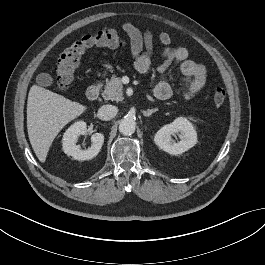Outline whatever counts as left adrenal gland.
Instances as JSON below:
<instances>
[{
  "label": "left adrenal gland",
  "instance_id": "1",
  "mask_svg": "<svg viewBox=\"0 0 265 265\" xmlns=\"http://www.w3.org/2000/svg\"><path fill=\"white\" fill-rule=\"evenodd\" d=\"M156 111H158L157 108H155V109H148L147 111H143V114H144L145 117H149V116L152 115V113H155Z\"/></svg>",
  "mask_w": 265,
  "mask_h": 265
}]
</instances>
